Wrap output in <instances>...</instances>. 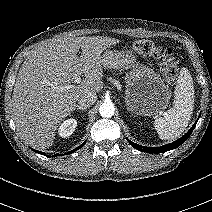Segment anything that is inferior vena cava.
I'll list each match as a JSON object with an SVG mask.
<instances>
[{"label":"inferior vena cava","instance_id":"602c4592","mask_svg":"<svg viewBox=\"0 0 212 212\" xmlns=\"http://www.w3.org/2000/svg\"><path fill=\"white\" fill-rule=\"evenodd\" d=\"M97 100V95L92 92L83 93L78 96V103L83 107H89L93 105Z\"/></svg>","mask_w":212,"mask_h":212}]
</instances>
